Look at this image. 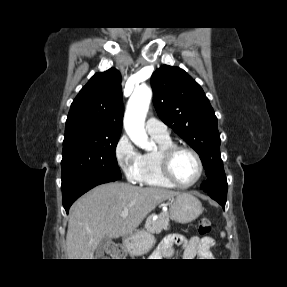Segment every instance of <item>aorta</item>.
<instances>
[{"label":"aorta","instance_id":"aorta-1","mask_svg":"<svg viewBox=\"0 0 287 287\" xmlns=\"http://www.w3.org/2000/svg\"><path fill=\"white\" fill-rule=\"evenodd\" d=\"M152 98V90L141 86L134 90L128 100L124 128L131 141L138 147L150 151L154 143L150 142L145 130V118Z\"/></svg>","mask_w":287,"mask_h":287}]
</instances>
